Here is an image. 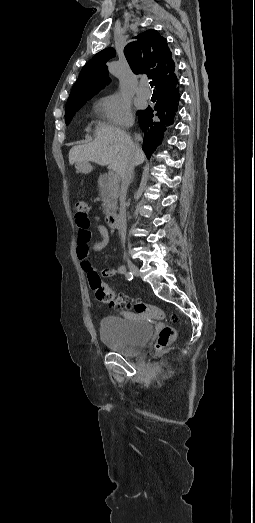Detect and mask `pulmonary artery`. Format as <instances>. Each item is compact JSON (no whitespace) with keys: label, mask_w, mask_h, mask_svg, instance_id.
<instances>
[{"label":"pulmonary artery","mask_w":255,"mask_h":523,"mask_svg":"<svg viewBox=\"0 0 255 523\" xmlns=\"http://www.w3.org/2000/svg\"><path fill=\"white\" fill-rule=\"evenodd\" d=\"M136 93L139 97L146 99H149L152 96V90L150 89L149 82L147 79L144 78L140 81Z\"/></svg>","instance_id":"e3ab8cb5"}]
</instances>
